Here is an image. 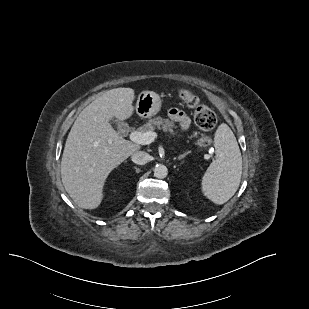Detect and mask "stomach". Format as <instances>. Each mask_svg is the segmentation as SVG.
Instances as JSON below:
<instances>
[{"label":"stomach","mask_w":309,"mask_h":309,"mask_svg":"<svg viewBox=\"0 0 309 309\" xmlns=\"http://www.w3.org/2000/svg\"><path fill=\"white\" fill-rule=\"evenodd\" d=\"M162 106L160 96L153 91H142L137 99L136 111L142 118H149L156 115Z\"/></svg>","instance_id":"1"}]
</instances>
